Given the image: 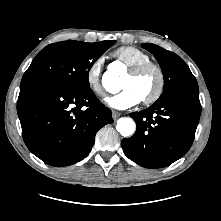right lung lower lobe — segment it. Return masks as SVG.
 <instances>
[{
    "label": "right lung lower lobe",
    "instance_id": "obj_1",
    "mask_svg": "<svg viewBox=\"0 0 221 221\" xmlns=\"http://www.w3.org/2000/svg\"><path fill=\"white\" fill-rule=\"evenodd\" d=\"M17 112L28 149L56 167L85 158L97 131L113 122L90 87L49 79L21 81Z\"/></svg>",
    "mask_w": 221,
    "mask_h": 221
}]
</instances>
